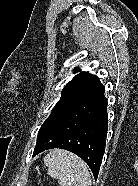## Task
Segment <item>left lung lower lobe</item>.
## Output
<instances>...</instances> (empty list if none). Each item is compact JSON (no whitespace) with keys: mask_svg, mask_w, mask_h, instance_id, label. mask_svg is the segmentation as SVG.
Instances as JSON below:
<instances>
[{"mask_svg":"<svg viewBox=\"0 0 138 186\" xmlns=\"http://www.w3.org/2000/svg\"><path fill=\"white\" fill-rule=\"evenodd\" d=\"M101 84L74 108L59 118L38 139L33 156L61 148L82 158L98 177L108 128L107 99Z\"/></svg>","mask_w":138,"mask_h":186,"instance_id":"1","label":"left lung lower lobe"}]
</instances>
